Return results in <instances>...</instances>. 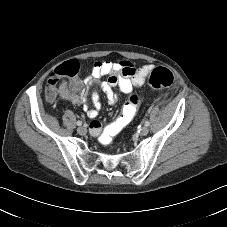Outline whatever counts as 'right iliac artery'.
I'll return each instance as SVG.
<instances>
[{
    "label": "right iliac artery",
    "mask_w": 227,
    "mask_h": 227,
    "mask_svg": "<svg viewBox=\"0 0 227 227\" xmlns=\"http://www.w3.org/2000/svg\"><path fill=\"white\" fill-rule=\"evenodd\" d=\"M77 125L81 126L82 125V121H77Z\"/></svg>",
    "instance_id": "obj_1"
}]
</instances>
